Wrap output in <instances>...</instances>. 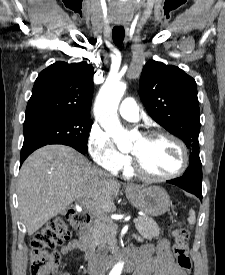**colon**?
<instances>
[{"mask_svg": "<svg viewBox=\"0 0 225 275\" xmlns=\"http://www.w3.org/2000/svg\"><path fill=\"white\" fill-rule=\"evenodd\" d=\"M89 215L83 211L70 210L64 216L50 220L33 237L30 251L31 275H51L56 269L60 254L57 248L88 220ZM173 253L177 264L186 274L191 271L189 257V226L186 222L179 223L173 230Z\"/></svg>", "mask_w": 225, "mask_h": 275, "instance_id": "1", "label": "colon"}]
</instances>
